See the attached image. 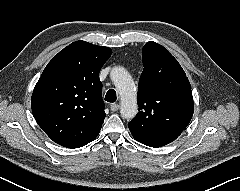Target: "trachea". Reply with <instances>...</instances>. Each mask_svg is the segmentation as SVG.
<instances>
[{"instance_id":"obj_1","label":"trachea","mask_w":240,"mask_h":191,"mask_svg":"<svg viewBox=\"0 0 240 191\" xmlns=\"http://www.w3.org/2000/svg\"><path fill=\"white\" fill-rule=\"evenodd\" d=\"M116 99H117L116 91L113 89L108 90L105 95V101L113 103L116 101Z\"/></svg>"}]
</instances>
